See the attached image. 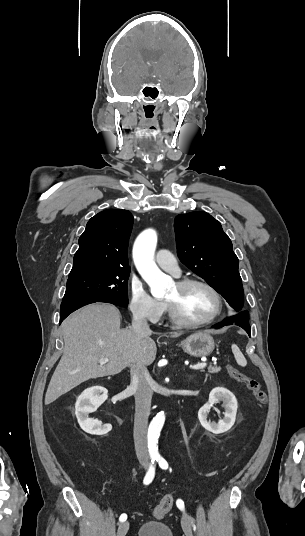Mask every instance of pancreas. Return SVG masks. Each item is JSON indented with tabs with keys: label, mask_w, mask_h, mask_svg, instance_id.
Wrapping results in <instances>:
<instances>
[{
	"label": "pancreas",
	"mask_w": 305,
	"mask_h": 536,
	"mask_svg": "<svg viewBox=\"0 0 305 536\" xmlns=\"http://www.w3.org/2000/svg\"><path fill=\"white\" fill-rule=\"evenodd\" d=\"M221 368H218V366H209L208 372L209 374H218L220 372ZM204 372V370H202Z\"/></svg>",
	"instance_id": "1"
}]
</instances>
